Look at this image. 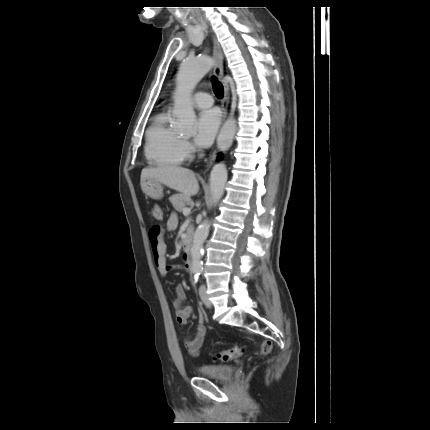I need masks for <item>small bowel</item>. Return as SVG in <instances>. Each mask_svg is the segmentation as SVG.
<instances>
[{"instance_id": "c3829d8e", "label": "small bowel", "mask_w": 430, "mask_h": 430, "mask_svg": "<svg viewBox=\"0 0 430 430\" xmlns=\"http://www.w3.org/2000/svg\"><path fill=\"white\" fill-rule=\"evenodd\" d=\"M177 226V218L171 215L166 224V229L155 225L150 228L148 237L151 245L154 264L161 277H166L171 267L166 263V244L165 235L166 231H173ZM187 271L189 266L184 264L181 267ZM172 306L176 314V321L179 325H186L190 318L193 308L186 304V294L182 286H177L175 290V297L172 300ZM206 336V326L204 324V317L200 314L198 319V326L192 337L186 338L184 341L187 353L193 357L199 355L203 346Z\"/></svg>"}]
</instances>
